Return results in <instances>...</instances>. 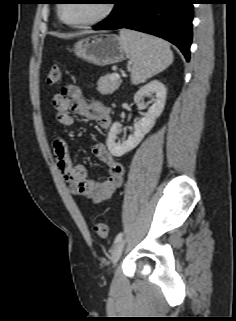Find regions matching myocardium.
<instances>
[{
    "label": "myocardium",
    "mask_w": 236,
    "mask_h": 321,
    "mask_svg": "<svg viewBox=\"0 0 236 321\" xmlns=\"http://www.w3.org/2000/svg\"><path fill=\"white\" fill-rule=\"evenodd\" d=\"M64 4L65 3H60L57 6L58 17H59L60 21L62 23H64L65 25L70 26V27H76V28L92 26V25H95L97 23H100L101 21H103L106 18H108L111 15V13L113 12V10H114L113 1L112 0H106V1H104L103 11L98 16H96L95 18L90 19V20H86V21H80V22H70V21H67L64 18L63 14H62V8H63Z\"/></svg>",
    "instance_id": "obj_1"
}]
</instances>
